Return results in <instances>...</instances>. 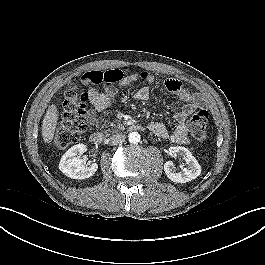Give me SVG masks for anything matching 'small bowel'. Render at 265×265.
Returning a JSON list of instances; mask_svg holds the SVG:
<instances>
[{
    "mask_svg": "<svg viewBox=\"0 0 265 265\" xmlns=\"http://www.w3.org/2000/svg\"><path fill=\"white\" fill-rule=\"evenodd\" d=\"M139 79H144L148 84H152L155 80L154 76L148 72L123 75L119 71L117 72V80L115 82L120 86H127ZM82 82L88 87L91 110L87 121L91 125L95 119V112L103 111L110 106L116 95V89L113 87V83H102L104 85V90H97L89 81L88 74L82 76ZM164 88L168 92L176 94L184 102V106L174 116L176 124L172 131L164 124L156 121L150 122L148 128L160 138L169 139L178 144H186L188 142L187 117L200 106L199 98L195 93L189 91L178 81H166L164 83ZM149 97L150 89L148 86H143L135 92V98L139 101H146Z\"/></svg>",
    "mask_w": 265,
    "mask_h": 265,
    "instance_id": "c3829d8e",
    "label": "small bowel"
}]
</instances>
